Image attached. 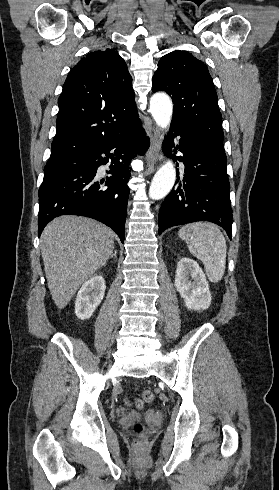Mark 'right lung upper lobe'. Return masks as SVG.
I'll list each match as a JSON object with an SVG mask.
<instances>
[{"instance_id":"right-lung-upper-lobe-1","label":"right lung upper lobe","mask_w":279,"mask_h":490,"mask_svg":"<svg viewBox=\"0 0 279 490\" xmlns=\"http://www.w3.org/2000/svg\"><path fill=\"white\" fill-rule=\"evenodd\" d=\"M134 99L131 75L115 50L87 54L64 83L47 164L74 161L137 127Z\"/></svg>"}]
</instances>
